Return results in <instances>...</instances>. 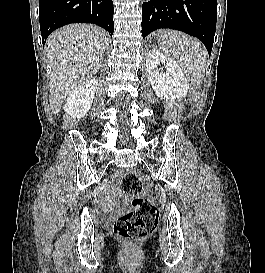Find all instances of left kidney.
<instances>
[{
	"label": "left kidney",
	"mask_w": 265,
	"mask_h": 273,
	"mask_svg": "<svg viewBox=\"0 0 265 273\" xmlns=\"http://www.w3.org/2000/svg\"><path fill=\"white\" fill-rule=\"evenodd\" d=\"M160 63L165 66L166 72L160 71ZM146 68L152 88L161 99H179L187 94L188 81L182 69L172 59L156 50H150L147 53Z\"/></svg>",
	"instance_id": "5707ae66"
}]
</instances>
